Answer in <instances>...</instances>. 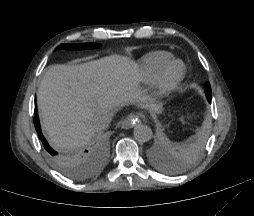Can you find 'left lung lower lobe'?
Listing matches in <instances>:
<instances>
[{"mask_svg":"<svg viewBox=\"0 0 254 216\" xmlns=\"http://www.w3.org/2000/svg\"><path fill=\"white\" fill-rule=\"evenodd\" d=\"M209 102H211V98H207Z\"/></svg>","mask_w":254,"mask_h":216,"instance_id":"left-lung-lower-lobe-1","label":"left lung lower lobe"}]
</instances>
